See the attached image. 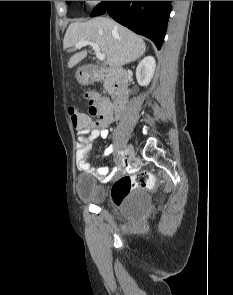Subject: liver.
Here are the masks:
<instances>
[{"label": "liver", "instance_id": "obj_1", "mask_svg": "<svg viewBox=\"0 0 233 295\" xmlns=\"http://www.w3.org/2000/svg\"><path fill=\"white\" fill-rule=\"evenodd\" d=\"M82 40L98 44L111 68L133 62L146 51L145 42L140 36L105 17H97L84 23H71L65 33L63 47L71 48ZM87 54V50L74 54L68 61V68L74 67Z\"/></svg>", "mask_w": 233, "mask_h": 295}]
</instances>
